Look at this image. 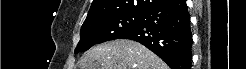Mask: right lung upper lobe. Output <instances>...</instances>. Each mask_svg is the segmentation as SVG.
Segmentation results:
<instances>
[{
    "label": "right lung upper lobe",
    "mask_w": 246,
    "mask_h": 69,
    "mask_svg": "<svg viewBox=\"0 0 246 69\" xmlns=\"http://www.w3.org/2000/svg\"><path fill=\"white\" fill-rule=\"evenodd\" d=\"M165 0H93L86 21L121 15L142 14Z\"/></svg>",
    "instance_id": "1"
}]
</instances>
